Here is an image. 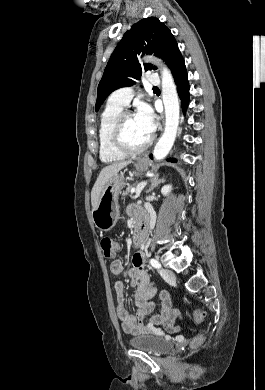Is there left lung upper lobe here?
<instances>
[{
    "mask_svg": "<svg viewBox=\"0 0 265 390\" xmlns=\"http://www.w3.org/2000/svg\"><path fill=\"white\" fill-rule=\"evenodd\" d=\"M154 53L171 66L180 54L171 31L155 17L140 20L132 25L113 51L97 89L96 111L114 90L132 86L142 71L156 69L152 64L138 63L137 55Z\"/></svg>",
    "mask_w": 265,
    "mask_h": 390,
    "instance_id": "1",
    "label": "left lung upper lobe"
}]
</instances>
